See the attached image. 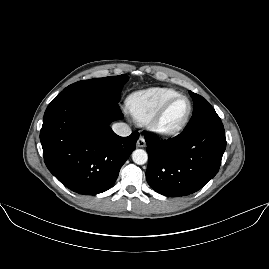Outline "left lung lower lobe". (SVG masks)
<instances>
[{
  "instance_id": "obj_1",
  "label": "left lung lower lobe",
  "mask_w": 269,
  "mask_h": 269,
  "mask_svg": "<svg viewBox=\"0 0 269 269\" xmlns=\"http://www.w3.org/2000/svg\"><path fill=\"white\" fill-rule=\"evenodd\" d=\"M145 140L147 182L170 197L190 195L207 184L217 174L226 148L222 122L184 129L169 140Z\"/></svg>"
}]
</instances>
